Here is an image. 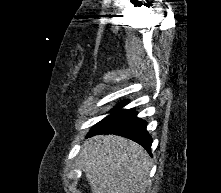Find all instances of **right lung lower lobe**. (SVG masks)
Here are the masks:
<instances>
[{
	"instance_id": "right-lung-lower-lobe-1",
	"label": "right lung lower lobe",
	"mask_w": 221,
	"mask_h": 193,
	"mask_svg": "<svg viewBox=\"0 0 221 193\" xmlns=\"http://www.w3.org/2000/svg\"><path fill=\"white\" fill-rule=\"evenodd\" d=\"M146 122L137 117L132 109L119 110L100 121L89 132V136L96 134H116L129 138L142 145L149 153L152 138L146 130Z\"/></svg>"
}]
</instances>
